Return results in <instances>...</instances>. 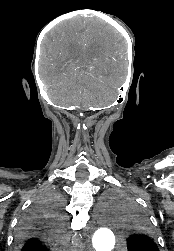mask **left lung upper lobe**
Segmentation results:
<instances>
[{
  "label": "left lung upper lobe",
  "mask_w": 174,
  "mask_h": 251,
  "mask_svg": "<svg viewBox=\"0 0 174 251\" xmlns=\"http://www.w3.org/2000/svg\"><path fill=\"white\" fill-rule=\"evenodd\" d=\"M127 217L133 223V231L127 238L128 251H159L156 237L145 216L130 204Z\"/></svg>",
  "instance_id": "left-lung-upper-lobe-1"
}]
</instances>
